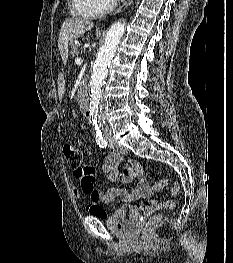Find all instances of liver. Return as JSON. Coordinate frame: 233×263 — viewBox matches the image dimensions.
Wrapping results in <instances>:
<instances>
[{"label": "liver", "mask_w": 233, "mask_h": 263, "mask_svg": "<svg viewBox=\"0 0 233 263\" xmlns=\"http://www.w3.org/2000/svg\"><path fill=\"white\" fill-rule=\"evenodd\" d=\"M93 25V22L78 17L68 18L63 22L58 38V48L64 65H66L68 61L69 42L82 36L86 31L90 30Z\"/></svg>", "instance_id": "liver-1"}]
</instances>
